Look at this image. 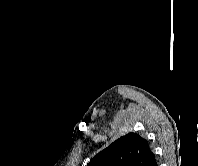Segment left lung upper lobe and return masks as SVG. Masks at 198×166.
<instances>
[{
  "label": "left lung upper lobe",
  "instance_id": "left-lung-upper-lobe-1",
  "mask_svg": "<svg viewBox=\"0 0 198 166\" xmlns=\"http://www.w3.org/2000/svg\"><path fill=\"white\" fill-rule=\"evenodd\" d=\"M155 161L148 141L128 133L100 151L87 166H152Z\"/></svg>",
  "mask_w": 198,
  "mask_h": 166
}]
</instances>
